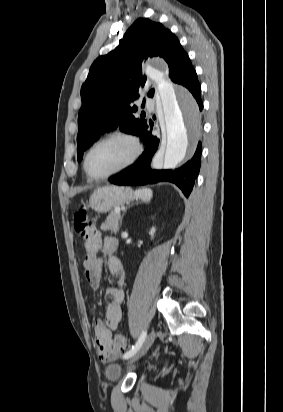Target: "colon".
I'll return each instance as SVG.
<instances>
[{
  "label": "colon",
  "instance_id": "obj_1",
  "mask_svg": "<svg viewBox=\"0 0 283 412\" xmlns=\"http://www.w3.org/2000/svg\"><path fill=\"white\" fill-rule=\"evenodd\" d=\"M73 227L76 235L83 242V247L87 255H96L99 248L97 232L86 207L81 206L75 211ZM129 347L130 344L123 335H116L113 339L112 351L124 352L128 350ZM106 355H108V352Z\"/></svg>",
  "mask_w": 283,
  "mask_h": 412
}]
</instances>
